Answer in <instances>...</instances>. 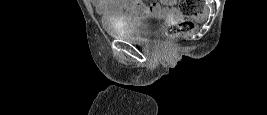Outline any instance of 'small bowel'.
Here are the masks:
<instances>
[{
	"mask_svg": "<svg viewBox=\"0 0 267 115\" xmlns=\"http://www.w3.org/2000/svg\"><path fill=\"white\" fill-rule=\"evenodd\" d=\"M96 10L101 14H114L123 20H137L141 15L155 13L171 15L175 12L173 1L143 3L141 0H92Z\"/></svg>",
	"mask_w": 267,
	"mask_h": 115,
	"instance_id": "c3829d8e",
	"label": "small bowel"
}]
</instances>
